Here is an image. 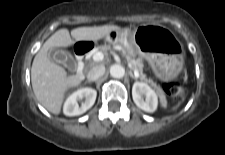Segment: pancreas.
I'll return each mask as SVG.
<instances>
[{"label": "pancreas", "instance_id": "obj_1", "mask_svg": "<svg viewBox=\"0 0 225 155\" xmlns=\"http://www.w3.org/2000/svg\"><path fill=\"white\" fill-rule=\"evenodd\" d=\"M116 46H119V45H116ZM111 47L109 45H103V46H100L98 48L99 51L101 52H104V53H107L108 50H110ZM123 54L126 56V59L128 60V62L130 63L131 65V69L133 70H137L139 72V78L146 82V83H149L151 84L157 91V94L161 100V103L163 104V106H166L167 104V101H166V96H165V93L163 92V90L156 85V83L153 82L152 79H148L146 77V75L143 73V62L140 58H135V55L132 56V55H129L125 50H123Z\"/></svg>", "mask_w": 225, "mask_h": 155}]
</instances>
